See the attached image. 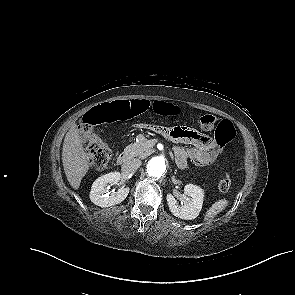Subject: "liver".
Listing matches in <instances>:
<instances>
[{"label":"liver","mask_w":295,"mask_h":295,"mask_svg":"<svg viewBox=\"0 0 295 295\" xmlns=\"http://www.w3.org/2000/svg\"><path fill=\"white\" fill-rule=\"evenodd\" d=\"M62 163L69 184L78 189L82 178L88 172L90 162L76 126H73L65 136Z\"/></svg>","instance_id":"1"}]
</instances>
